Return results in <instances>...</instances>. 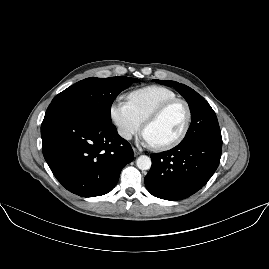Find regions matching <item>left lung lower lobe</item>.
I'll list each match as a JSON object with an SVG mask.
<instances>
[{"instance_id": "obj_1", "label": "left lung lower lobe", "mask_w": 269, "mask_h": 269, "mask_svg": "<svg viewBox=\"0 0 269 269\" xmlns=\"http://www.w3.org/2000/svg\"><path fill=\"white\" fill-rule=\"evenodd\" d=\"M222 149L220 137H202L173 149L152 154L144 182L161 199L182 200L201 189L216 171Z\"/></svg>"}]
</instances>
